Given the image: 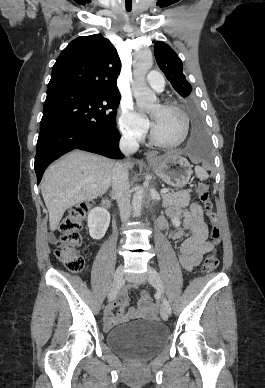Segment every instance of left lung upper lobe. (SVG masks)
<instances>
[{
  "instance_id": "5c2ea615",
  "label": "left lung upper lobe",
  "mask_w": 265,
  "mask_h": 388,
  "mask_svg": "<svg viewBox=\"0 0 265 388\" xmlns=\"http://www.w3.org/2000/svg\"><path fill=\"white\" fill-rule=\"evenodd\" d=\"M154 55L159 68L163 71L173 88L182 97L188 96L192 91V87L183 74L182 61L177 54L164 42H156L154 45ZM189 108L195 109L192 103L189 104Z\"/></svg>"
}]
</instances>
